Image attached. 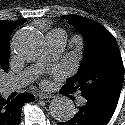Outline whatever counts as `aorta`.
Here are the masks:
<instances>
[{"mask_svg": "<svg viewBox=\"0 0 125 125\" xmlns=\"http://www.w3.org/2000/svg\"><path fill=\"white\" fill-rule=\"evenodd\" d=\"M15 49L23 58L38 56L43 50V38L37 30L22 29L15 35ZM51 116L58 121L70 120L76 113L72 101L65 96L53 99L49 106Z\"/></svg>", "mask_w": 125, "mask_h": 125, "instance_id": "obj_1", "label": "aorta"}]
</instances>
